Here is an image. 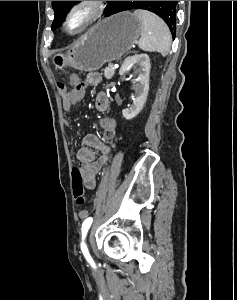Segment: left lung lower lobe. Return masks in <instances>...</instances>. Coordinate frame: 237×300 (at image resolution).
Instances as JSON below:
<instances>
[{
  "label": "left lung lower lobe",
  "mask_w": 237,
  "mask_h": 300,
  "mask_svg": "<svg viewBox=\"0 0 237 300\" xmlns=\"http://www.w3.org/2000/svg\"><path fill=\"white\" fill-rule=\"evenodd\" d=\"M117 6V3L111 8V11L109 13V15H105V16H110L112 14L118 13L117 10L115 9ZM175 37V34H173V38Z\"/></svg>",
  "instance_id": "0a47b994"
}]
</instances>
